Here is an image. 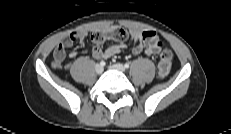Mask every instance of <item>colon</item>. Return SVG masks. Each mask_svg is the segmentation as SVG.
I'll use <instances>...</instances> for the list:
<instances>
[{"label":"colon","instance_id":"obj_1","mask_svg":"<svg viewBox=\"0 0 231 134\" xmlns=\"http://www.w3.org/2000/svg\"><path fill=\"white\" fill-rule=\"evenodd\" d=\"M112 39L118 42H124L128 39V33L126 30L120 27H114L109 35ZM106 39V35L103 32H97L91 35V40L100 44ZM172 53L169 49H164L160 54V60L158 63V77L163 79L168 76L171 69ZM57 67H64V62H55Z\"/></svg>","mask_w":231,"mask_h":134}]
</instances>
